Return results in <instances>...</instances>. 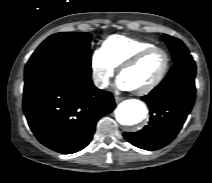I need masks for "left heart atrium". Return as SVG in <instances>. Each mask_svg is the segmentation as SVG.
<instances>
[{
	"label": "left heart atrium",
	"mask_w": 212,
	"mask_h": 183,
	"mask_svg": "<svg viewBox=\"0 0 212 183\" xmlns=\"http://www.w3.org/2000/svg\"><path fill=\"white\" fill-rule=\"evenodd\" d=\"M117 86L121 90H131V88L129 87V85L125 82V80L121 76L117 80Z\"/></svg>",
	"instance_id": "39dd6f15"
}]
</instances>
